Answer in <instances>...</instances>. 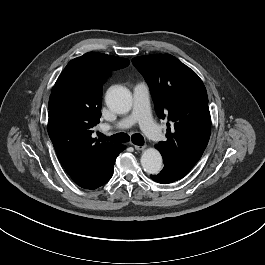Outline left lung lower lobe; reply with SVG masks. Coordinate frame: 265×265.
Masks as SVG:
<instances>
[{
	"instance_id": "obj_1",
	"label": "left lung lower lobe",
	"mask_w": 265,
	"mask_h": 265,
	"mask_svg": "<svg viewBox=\"0 0 265 265\" xmlns=\"http://www.w3.org/2000/svg\"><path fill=\"white\" fill-rule=\"evenodd\" d=\"M151 178L161 184H168L174 181L179 180L177 176L173 175L170 171L163 169L159 174L157 175H151Z\"/></svg>"
}]
</instances>
